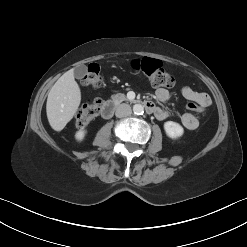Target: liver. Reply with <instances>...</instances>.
I'll return each instance as SVG.
<instances>
[{
  "instance_id": "6515ba94",
  "label": "liver",
  "mask_w": 247,
  "mask_h": 247,
  "mask_svg": "<svg viewBox=\"0 0 247 247\" xmlns=\"http://www.w3.org/2000/svg\"><path fill=\"white\" fill-rule=\"evenodd\" d=\"M80 102L81 91L71 69L56 81L48 94L46 113L52 129L61 131L75 115Z\"/></svg>"
}]
</instances>
